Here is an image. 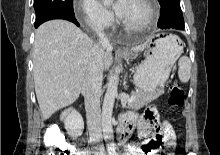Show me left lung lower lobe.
<instances>
[{
    "mask_svg": "<svg viewBox=\"0 0 220 155\" xmlns=\"http://www.w3.org/2000/svg\"><path fill=\"white\" fill-rule=\"evenodd\" d=\"M158 27L161 29H184L185 25L180 3L161 6Z\"/></svg>",
    "mask_w": 220,
    "mask_h": 155,
    "instance_id": "0a47b994",
    "label": "left lung lower lobe"
}]
</instances>
